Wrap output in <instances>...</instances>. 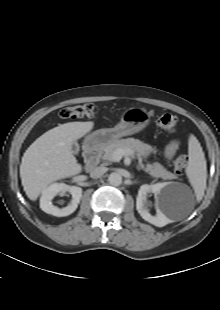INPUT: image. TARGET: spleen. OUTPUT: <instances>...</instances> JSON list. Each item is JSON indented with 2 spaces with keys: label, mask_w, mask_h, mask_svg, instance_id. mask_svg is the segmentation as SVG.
<instances>
[{
  "label": "spleen",
  "mask_w": 220,
  "mask_h": 310,
  "mask_svg": "<svg viewBox=\"0 0 220 310\" xmlns=\"http://www.w3.org/2000/svg\"><path fill=\"white\" fill-rule=\"evenodd\" d=\"M186 174L197 201H200L206 189L207 166L202 147L194 135L189 137V162Z\"/></svg>",
  "instance_id": "obj_1"
}]
</instances>
